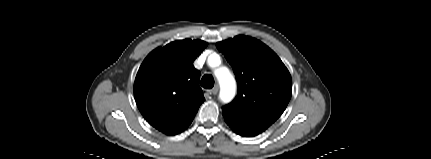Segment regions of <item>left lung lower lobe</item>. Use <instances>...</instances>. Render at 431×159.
Here are the masks:
<instances>
[{
  "label": "left lung lower lobe",
  "instance_id": "obj_1",
  "mask_svg": "<svg viewBox=\"0 0 431 159\" xmlns=\"http://www.w3.org/2000/svg\"><path fill=\"white\" fill-rule=\"evenodd\" d=\"M234 132H236L237 134L244 136V137H253L258 135L259 133H261L262 131H257V130H240L234 126L229 125Z\"/></svg>",
  "mask_w": 431,
  "mask_h": 159
}]
</instances>
